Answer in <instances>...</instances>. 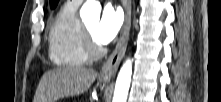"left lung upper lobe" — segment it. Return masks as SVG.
Returning a JSON list of instances; mask_svg holds the SVG:
<instances>
[{
    "label": "left lung upper lobe",
    "instance_id": "1",
    "mask_svg": "<svg viewBox=\"0 0 221 102\" xmlns=\"http://www.w3.org/2000/svg\"><path fill=\"white\" fill-rule=\"evenodd\" d=\"M59 0H50V6L51 8H55L58 4Z\"/></svg>",
    "mask_w": 221,
    "mask_h": 102
}]
</instances>
